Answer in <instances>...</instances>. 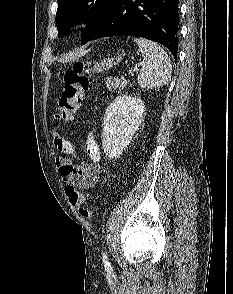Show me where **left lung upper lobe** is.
I'll return each mask as SVG.
<instances>
[{"label": "left lung upper lobe", "mask_w": 233, "mask_h": 294, "mask_svg": "<svg viewBox=\"0 0 233 294\" xmlns=\"http://www.w3.org/2000/svg\"><path fill=\"white\" fill-rule=\"evenodd\" d=\"M56 26L58 36L66 35L67 30L79 21L87 24L82 31V44L99 26L114 0H57Z\"/></svg>", "instance_id": "1"}]
</instances>
